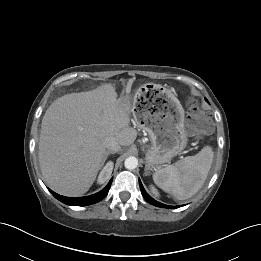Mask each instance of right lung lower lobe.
<instances>
[{
	"label": "right lung lower lobe",
	"instance_id": "obj_1",
	"mask_svg": "<svg viewBox=\"0 0 261 261\" xmlns=\"http://www.w3.org/2000/svg\"><path fill=\"white\" fill-rule=\"evenodd\" d=\"M111 183H112V180H110L108 185L103 190H101L100 192L93 194V195H90V196H86V197L71 198V197L61 196V195L53 192L50 189H49V191L52 193V195L56 199H58L59 201L65 203L67 205L86 206V205H91V204L97 203L100 200H102L108 194Z\"/></svg>",
	"mask_w": 261,
	"mask_h": 261
}]
</instances>
